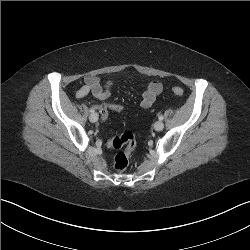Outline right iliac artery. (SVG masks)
I'll use <instances>...</instances> for the list:
<instances>
[{
    "instance_id": "82829eb1",
    "label": "right iliac artery",
    "mask_w": 250,
    "mask_h": 250,
    "mask_svg": "<svg viewBox=\"0 0 250 250\" xmlns=\"http://www.w3.org/2000/svg\"><path fill=\"white\" fill-rule=\"evenodd\" d=\"M90 112H91V113H94V112H95V110H94L93 108H91V109H90Z\"/></svg>"
}]
</instances>
